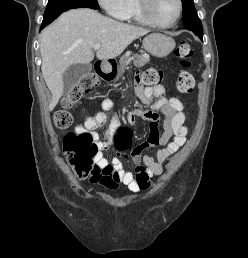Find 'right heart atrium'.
Segmentation results:
<instances>
[{"label":"right heart atrium","instance_id":"right-heart-atrium-1","mask_svg":"<svg viewBox=\"0 0 248 258\" xmlns=\"http://www.w3.org/2000/svg\"><path fill=\"white\" fill-rule=\"evenodd\" d=\"M105 12L116 19H122L128 9L129 0H97Z\"/></svg>","mask_w":248,"mask_h":258}]
</instances>
